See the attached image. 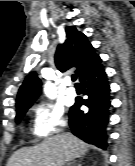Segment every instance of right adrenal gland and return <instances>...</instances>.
<instances>
[{
    "label": "right adrenal gland",
    "instance_id": "obj_1",
    "mask_svg": "<svg viewBox=\"0 0 135 166\" xmlns=\"http://www.w3.org/2000/svg\"><path fill=\"white\" fill-rule=\"evenodd\" d=\"M68 166H71V164H68ZM77 166H82L81 164H78Z\"/></svg>",
    "mask_w": 135,
    "mask_h": 166
}]
</instances>
